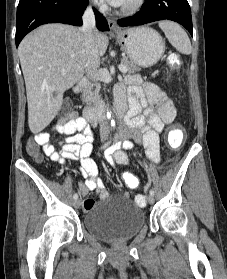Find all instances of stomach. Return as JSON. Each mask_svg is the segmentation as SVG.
<instances>
[{"label": "stomach", "mask_w": 227, "mask_h": 279, "mask_svg": "<svg viewBox=\"0 0 227 279\" xmlns=\"http://www.w3.org/2000/svg\"><path fill=\"white\" fill-rule=\"evenodd\" d=\"M116 39L135 65L151 67L165 51L160 34L149 27H137L116 33Z\"/></svg>", "instance_id": "obj_1"}]
</instances>
